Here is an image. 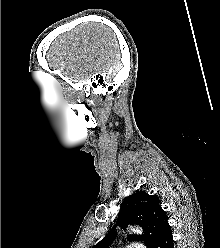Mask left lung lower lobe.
<instances>
[{
  "mask_svg": "<svg viewBox=\"0 0 220 248\" xmlns=\"http://www.w3.org/2000/svg\"><path fill=\"white\" fill-rule=\"evenodd\" d=\"M174 241L172 238V232L170 226H166L162 235L160 236L158 242L154 245L153 248H173Z\"/></svg>",
  "mask_w": 220,
  "mask_h": 248,
  "instance_id": "left-lung-lower-lobe-1",
  "label": "left lung lower lobe"
}]
</instances>
